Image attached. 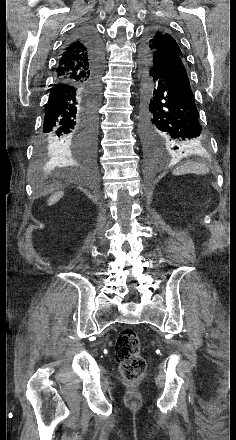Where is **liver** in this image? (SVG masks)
<instances>
[{
    "label": "liver",
    "instance_id": "obj_1",
    "mask_svg": "<svg viewBox=\"0 0 236 440\" xmlns=\"http://www.w3.org/2000/svg\"><path fill=\"white\" fill-rule=\"evenodd\" d=\"M64 195V192L62 191H58L56 193H54L52 196L49 197L48 199V205L51 206L55 203H57Z\"/></svg>",
    "mask_w": 236,
    "mask_h": 440
}]
</instances>
